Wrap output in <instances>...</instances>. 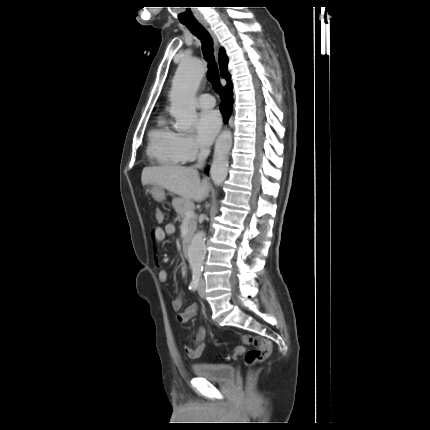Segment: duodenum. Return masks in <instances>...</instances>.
Masks as SVG:
<instances>
[{
  "instance_id": "duodenum-1",
  "label": "duodenum",
  "mask_w": 430,
  "mask_h": 430,
  "mask_svg": "<svg viewBox=\"0 0 430 430\" xmlns=\"http://www.w3.org/2000/svg\"><path fill=\"white\" fill-rule=\"evenodd\" d=\"M190 247H191V239L189 237L185 238L183 245H182V251L184 256L189 259L190 257Z\"/></svg>"
}]
</instances>
